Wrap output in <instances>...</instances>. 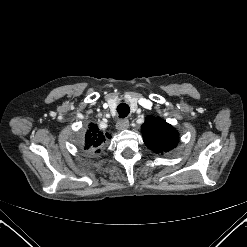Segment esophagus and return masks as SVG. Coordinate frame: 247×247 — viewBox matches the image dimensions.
<instances>
[{
  "label": "esophagus",
  "mask_w": 247,
  "mask_h": 247,
  "mask_svg": "<svg viewBox=\"0 0 247 247\" xmlns=\"http://www.w3.org/2000/svg\"><path fill=\"white\" fill-rule=\"evenodd\" d=\"M128 127H129V121L127 119L120 120L116 124V129L119 130V131L125 130Z\"/></svg>",
  "instance_id": "obj_1"
}]
</instances>
